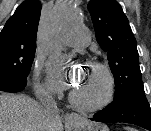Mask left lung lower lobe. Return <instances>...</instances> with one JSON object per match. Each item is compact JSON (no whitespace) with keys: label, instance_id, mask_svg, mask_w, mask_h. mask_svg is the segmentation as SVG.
Returning <instances> with one entry per match:
<instances>
[{"label":"left lung lower lobe","instance_id":"left-lung-lower-lobe-1","mask_svg":"<svg viewBox=\"0 0 151 131\" xmlns=\"http://www.w3.org/2000/svg\"><path fill=\"white\" fill-rule=\"evenodd\" d=\"M92 121L130 123L151 131V108L144 88H134L98 111Z\"/></svg>","mask_w":151,"mask_h":131}]
</instances>
